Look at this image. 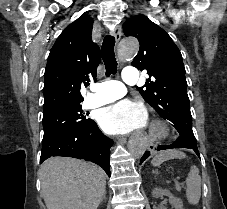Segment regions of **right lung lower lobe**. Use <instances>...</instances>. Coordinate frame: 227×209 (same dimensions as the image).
Wrapping results in <instances>:
<instances>
[{
  "label": "right lung lower lobe",
  "mask_w": 227,
  "mask_h": 209,
  "mask_svg": "<svg viewBox=\"0 0 227 209\" xmlns=\"http://www.w3.org/2000/svg\"><path fill=\"white\" fill-rule=\"evenodd\" d=\"M107 138L90 119L84 126L69 129L43 140L40 163L53 156L73 157L101 166L110 176V147Z\"/></svg>",
  "instance_id": "98d812e1"
}]
</instances>
